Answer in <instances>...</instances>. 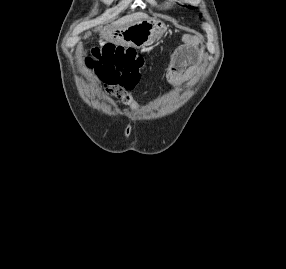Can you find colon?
I'll return each instance as SVG.
<instances>
[{
	"label": "colon",
	"mask_w": 286,
	"mask_h": 269,
	"mask_svg": "<svg viewBox=\"0 0 286 269\" xmlns=\"http://www.w3.org/2000/svg\"><path fill=\"white\" fill-rule=\"evenodd\" d=\"M88 54L86 62L107 84L108 95H114L117 85L130 89L141 79L144 61L132 48L106 43L92 47Z\"/></svg>",
	"instance_id": "5ec220e1"
}]
</instances>
